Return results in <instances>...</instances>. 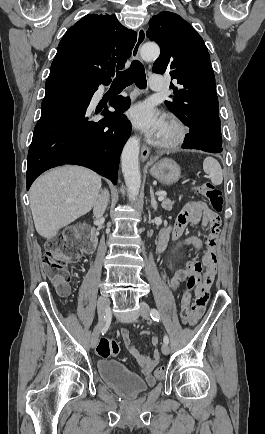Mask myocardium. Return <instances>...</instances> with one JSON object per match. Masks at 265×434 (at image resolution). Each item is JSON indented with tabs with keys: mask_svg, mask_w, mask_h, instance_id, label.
Returning a JSON list of instances; mask_svg holds the SVG:
<instances>
[{
	"mask_svg": "<svg viewBox=\"0 0 265 434\" xmlns=\"http://www.w3.org/2000/svg\"><path fill=\"white\" fill-rule=\"evenodd\" d=\"M186 128L176 118H171L165 126L164 135L158 141L161 149H174L181 145L186 137Z\"/></svg>",
	"mask_w": 265,
	"mask_h": 434,
	"instance_id": "1",
	"label": "myocardium"
}]
</instances>
